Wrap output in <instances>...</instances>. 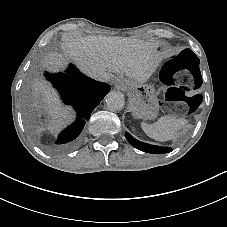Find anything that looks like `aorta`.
Returning <instances> with one entry per match:
<instances>
[{
  "label": "aorta",
  "mask_w": 227,
  "mask_h": 227,
  "mask_svg": "<svg viewBox=\"0 0 227 227\" xmlns=\"http://www.w3.org/2000/svg\"><path fill=\"white\" fill-rule=\"evenodd\" d=\"M124 104V96L120 92L111 91L105 97V105L111 111L121 110Z\"/></svg>",
  "instance_id": "obj_1"
}]
</instances>
